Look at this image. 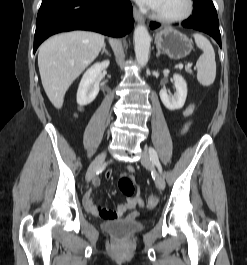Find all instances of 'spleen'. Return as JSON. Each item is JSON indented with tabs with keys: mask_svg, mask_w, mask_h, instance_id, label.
<instances>
[{
	"mask_svg": "<svg viewBox=\"0 0 247 265\" xmlns=\"http://www.w3.org/2000/svg\"><path fill=\"white\" fill-rule=\"evenodd\" d=\"M195 43L203 53L199 57L197 67V80L203 86L213 84L216 77L215 52L210 41L199 33L193 34Z\"/></svg>",
	"mask_w": 247,
	"mask_h": 265,
	"instance_id": "1",
	"label": "spleen"
}]
</instances>
